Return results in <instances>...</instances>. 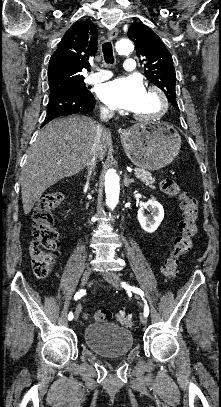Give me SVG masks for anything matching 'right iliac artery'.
Listing matches in <instances>:
<instances>
[{"label": "right iliac artery", "mask_w": 221, "mask_h": 407, "mask_svg": "<svg viewBox=\"0 0 221 407\" xmlns=\"http://www.w3.org/2000/svg\"><path fill=\"white\" fill-rule=\"evenodd\" d=\"M85 290H80L79 292H77L76 294H75V296H74V299L75 300H77V299H79V298H81L84 294H85ZM73 313L72 312H70L69 314H68V320H72L73 319Z\"/></svg>", "instance_id": "right-iliac-artery-1"}]
</instances>
